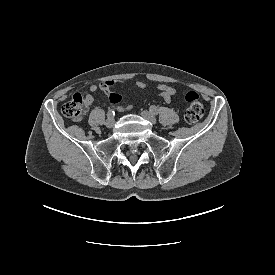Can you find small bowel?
<instances>
[{
	"mask_svg": "<svg viewBox=\"0 0 275 275\" xmlns=\"http://www.w3.org/2000/svg\"><path fill=\"white\" fill-rule=\"evenodd\" d=\"M115 83H116V81H114V80H107V81H103L99 84L91 85L89 88V92L86 93V95H85L86 98L88 99L89 103L91 104L93 102L92 94L100 91L107 96L109 102L112 105L118 104L122 100V96L118 93L111 91V89L115 85ZM136 86L139 89H146L148 85L146 82L139 80L136 82ZM157 91H158L159 96L167 104L171 103L173 96L176 94V88L170 84H167V83L159 84L157 86ZM115 108L119 112H124V111L131 110L133 108V105L129 104L126 106H116Z\"/></svg>",
	"mask_w": 275,
	"mask_h": 275,
	"instance_id": "1",
	"label": "small bowel"
}]
</instances>
